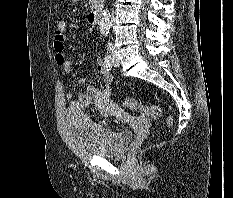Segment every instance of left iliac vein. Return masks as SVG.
Returning <instances> with one entry per match:
<instances>
[{
	"instance_id": "left-iliac-vein-1",
	"label": "left iliac vein",
	"mask_w": 233,
	"mask_h": 198,
	"mask_svg": "<svg viewBox=\"0 0 233 198\" xmlns=\"http://www.w3.org/2000/svg\"><path fill=\"white\" fill-rule=\"evenodd\" d=\"M112 58H113V66L118 67L120 62L117 55L114 52H112Z\"/></svg>"
}]
</instances>
